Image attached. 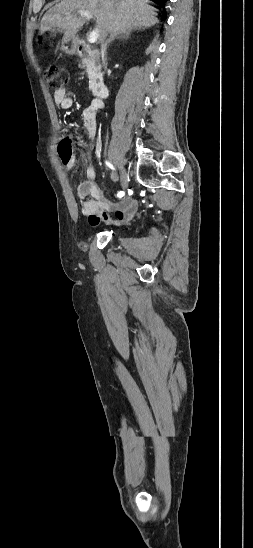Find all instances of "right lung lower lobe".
Returning <instances> with one entry per match:
<instances>
[{"mask_svg":"<svg viewBox=\"0 0 253 548\" xmlns=\"http://www.w3.org/2000/svg\"><path fill=\"white\" fill-rule=\"evenodd\" d=\"M153 1L156 2L157 4L163 6V8H164V5L168 0H153Z\"/></svg>","mask_w":253,"mask_h":548,"instance_id":"1","label":"right lung lower lobe"}]
</instances>
